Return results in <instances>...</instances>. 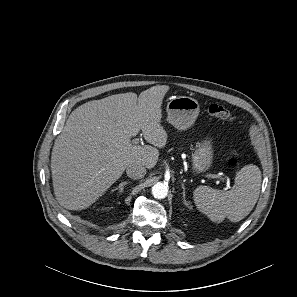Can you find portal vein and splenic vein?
<instances>
[{"label": "portal vein and splenic vein", "instance_id": "portal-vein-and-splenic-vein-1", "mask_svg": "<svg viewBox=\"0 0 297 297\" xmlns=\"http://www.w3.org/2000/svg\"><path fill=\"white\" fill-rule=\"evenodd\" d=\"M133 144H138L139 143V139L135 138L132 140ZM206 178L208 179H221V176L219 174H206L205 175ZM227 183L229 184L230 181L228 179H226Z\"/></svg>", "mask_w": 297, "mask_h": 297}]
</instances>
